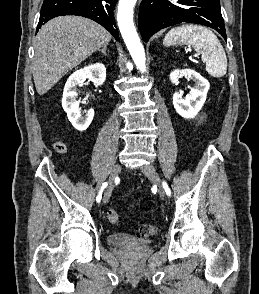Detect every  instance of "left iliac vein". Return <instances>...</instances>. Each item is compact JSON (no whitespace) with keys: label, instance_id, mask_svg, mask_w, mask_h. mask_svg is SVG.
Here are the masks:
<instances>
[{"label":"left iliac vein","instance_id":"left-iliac-vein-1","mask_svg":"<svg viewBox=\"0 0 259 294\" xmlns=\"http://www.w3.org/2000/svg\"><path fill=\"white\" fill-rule=\"evenodd\" d=\"M142 173L155 183L161 197L165 196L163 182L153 165L148 164L141 168Z\"/></svg>","mask_w":259,"mask_h":294}]
</instances>
